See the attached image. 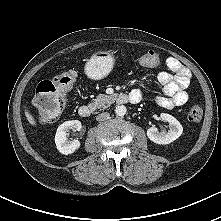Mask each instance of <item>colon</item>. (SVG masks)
Listing matches in <instances>:
<instances>
[{"instance_id":"obj_1","label":"colon","mask_w":221,"mask_h":221,"mask_svg":"<svg viewBox=\"0 0 221 221\" xmlns=\"http://www.w3.org/2000/svg\"><path fill=\"white\" fill-rule=\"evenodd\" d=\"M138 62L143 67H156L160 62L159 53L153 50L147 51L139 56ZM76 78V72L68 70L52 80L38 84L33 103L41 123H52L60 118L66 104L67 92ZM202 114V107L193 104L188 110V119L193 122L199 121Z\"/></svg>"}]
</instances>
